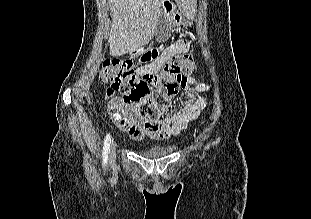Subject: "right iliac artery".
<instances>
[{
  "instance_id": "right-iliac-artery-1",
  "label": "right iliac artery",
  "mask_w": 311,
  "mask_h": 219,
  "mask_svg": "<svg viewBox=\"0 0 311 219\" xmlns=\"http://www.w3.org/2000/svg\"><path fill=\"white\" fill-rule=\"evenodd\" d=\"M110 143H111V137H110V134H107L104 140V146H103V152H102L104 164H107L108 162V153H109Z\"/></svg>"
}]
</instances>
